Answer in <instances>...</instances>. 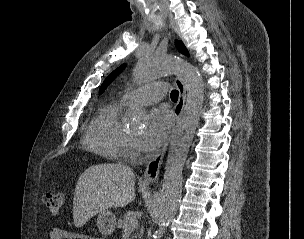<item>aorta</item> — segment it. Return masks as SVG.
<instances>
[{"label": "aorta", "mask_w": 304, "mask_h": 239, "mask_svg": "<svg viewBox=\"0 0 304 239\" xmlns=\"http://www.w3.org/2000/svg\"><path fill=\"white\" fill-rule=\"evenodd\" d=\"M171 74L180 76L187 91V98L171 138L165 165L158 204V229L155 232L159 239L165 234L179 205L183 167L202 111L204 84L196 67L170 55L143 57L138 61L134 73V81L137 84Z\"/></svg>", "instance_id": "762f6f07"}]
</instances>
